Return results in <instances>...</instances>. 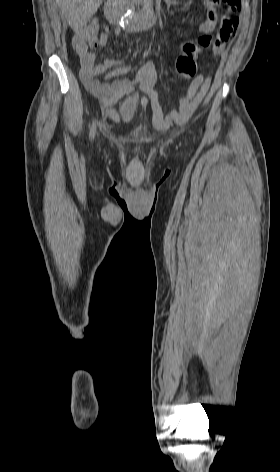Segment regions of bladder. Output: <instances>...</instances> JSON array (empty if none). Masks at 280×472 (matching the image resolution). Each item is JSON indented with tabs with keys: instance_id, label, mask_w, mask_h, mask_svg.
Here are the masks:
<instances>
[{
	"instance_id": "31cf9c89",
	"label": "bladder",
	"mask_w": 280,
	"mask_h": 472,
	"mask_svg": "<svg viewBox=\"0 0 280 472\" xmlns=\"http://www.w3.org/2000/svg\"><path fill=\"white\" fill-rule=\"evenodd\" d=\"M138 96L136 94L127 97L120 106V117L123 122H130L137 110Z\"/></svg>"
}]
</instances>
